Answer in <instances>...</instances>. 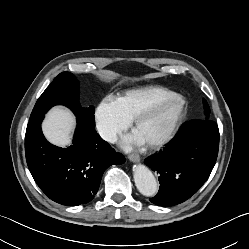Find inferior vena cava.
I'll return each mask as SVG.
<instances>
[{
	"label": "inferior vena cava",
	"mask_w": 249,
	"mask_h": 249,
	"mask_svg": "<svg viewBox=\"0 0 249 249\" xmlns=\"http://www.w3.org/2000/svg\"><path fill=\"white\" fill-rule=\"evenodd\" d=\"M100 135L104 140H106L110 143H114L117 140L116 133L114 131H111L108 129L100 130Z\"/></svg>",
	"instance_id": "inferior-vena-cava-1"
}]
</instances>
